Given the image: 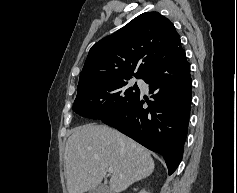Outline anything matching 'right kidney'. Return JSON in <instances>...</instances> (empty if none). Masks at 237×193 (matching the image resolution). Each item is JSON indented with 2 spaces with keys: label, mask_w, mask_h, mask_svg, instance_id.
Here are the masks:
<instances>
[{
  "label": "right kidney",
  "mask_w": 237,
  "mask_h": 193,
  "mask_svg": "<svg viewBox=\"0 0 237 193\" xmlns=\"http://www.w3.org/2000/svg\"><path fill=\"white\" fill-rule=\"evenodd\" d=\"M139 193H149V192H147V191H145V190H142V191H140Z\"/></svg>",
  "instance_id": "obj_1"
}]
</instances>
